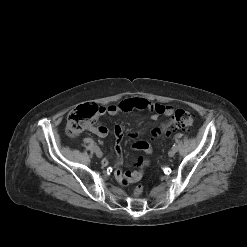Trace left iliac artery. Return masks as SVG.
<instances>
[{
	"instance_id": "1",
	"label": "left iliac artery",
	"mask_w": 247,
	"mask_h": 247,
	"mask_svg": "<svg viewBox=\"0 0 247 247\" xmlns=\"http://www.w3.org/2000/svg\"><path fill=\"white\" fill-rule=\"evenodd\" d=\"M172 149L176 150L178 149V146L176 144L173 145Z\"/></svg>"
}]
</instances>
